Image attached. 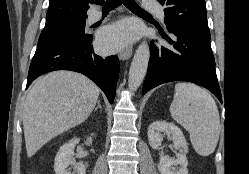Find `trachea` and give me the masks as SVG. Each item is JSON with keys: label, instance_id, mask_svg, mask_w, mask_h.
I'll use <instances>...</instances> for the list:
<instances>
[{"label": "trachea", "instance_id": "obj_1", "mask_svg": "<svg viewBox=\"0 0 249 174\" xmlns=\"http://www.w3.org/2000/svg\"><path fill=\"white\" fill-rule=\"evenodd\" d=\"M95 4L102 5L103 10H111L124 4L129 10L134 13H141L150 15L148 12L143 10L134 0H95Z\"/></svg>", "mask_w": 249, "mask_h": 174}]
</instances>
